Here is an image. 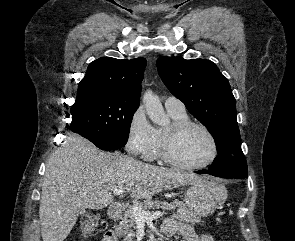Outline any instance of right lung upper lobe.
I'll return each mask as SVG.
<instances>
[{
  "mask_svg": "<svg viewBox=\"0 0 295 241\" xmlns=\"http://www.w3.org/2000/svg\"><path fill=\"white\" fill-rule=\"evenodd\" d=\"M146 59L119 60L102 57L91 62L86 75L80 81L77 99L90 92L102 91L132 102H140L141 82Z\"/></svg>",
  "mask_w": 295,
  "mask_h": 241,
  "instance_id": "1",
  "label": "right lung upper lobe"
}]
</instances>
